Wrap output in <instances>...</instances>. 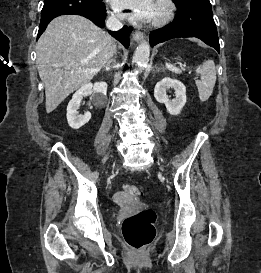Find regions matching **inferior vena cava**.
Instances as JSON below:
<instances>
[{
	"label": "inferior vena cava",
	"mask_w": 261,
	"mask_h": 273,
	"mask_svg": "<svg viewBox=\"0 0 261 273\" xmlns=\"http://www.w3.org/2000/svg\"><path fill=\"white\" fill-rule=\"evenodd\" d=\"M106 26L108 29L112 31H118L123 27V24L121 22L120 17L111 13V15L106 20ZM113 53H115V45H114Z\"/></svg>",
	"instance_id": "1"
}]
</instances>
